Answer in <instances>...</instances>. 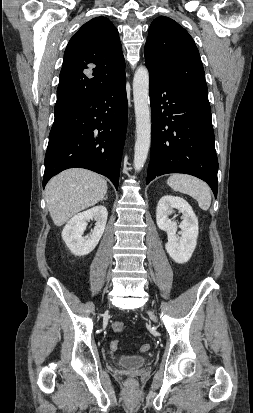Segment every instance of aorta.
Masks as SVG:
<instances>
[{
	"label": "aorta",
	"mask_w": 253,
	"mask_h": 413,
	"mask_svg": "<svg viewBox=\"0 0 253 413\" xmlns=\"http://www.w3.org/2000/svg\"><path fill=\"white\" fill-rule=\"evenodd\" d=\"M133 100L136 117L134 168L140 171L146 162L151 143L149 72L145 66L138 67L134 74Z\"/></svg>",
	"instance_id": "762f6f07"
}]
</instances>
